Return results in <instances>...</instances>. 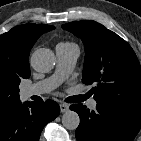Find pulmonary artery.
<instances>
[{"label":"pulmonary artery","mask_w":141,"mask_h":141,"mask_svg":"<svg viewBox=\"0 0 141 141\" xmlns=\"http://www.w3.org/2000/svg\"><path fill=\"white\" fill-rule=\"evenodd\" d=\"M57 65L56 70L50 77L29 85L22 90L25 98L49 93L57 88L73 71L76 61L79 57V49L76 45L56 46ZM96 100L92 99L88 103L90 109H95Z\"/></svg>","instance_id":"pulmonary-artery-1"}]
</instances>
